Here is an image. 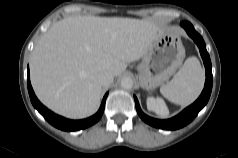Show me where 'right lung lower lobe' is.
<instances>
[{
	"label": "right lung lower lobe",
	"mask_w": 238,
	"mask_h": 158,
	"mask_svg": "<svg viewBox=\"0 0 238 158\" xmlns=\"http://www.w3.org/2000/svg\"><path fill=\"white\" fill-rule=\"evenodd\" d=\"M28 92H29V96L33 106L43 115V117L54 127L64 131H76V130L87 128L95 124L101 118L103 114L105 101L107 97V94H106L103 98L100 109L92 117L84 119V120H69L54 114L53 112L48 110L45 106H43L40 103V101L35 96L34 91L31 87V83L29 79V69H28Z\"/></svg>",
	"instance_id": "obj_1"
}]
</instances>
